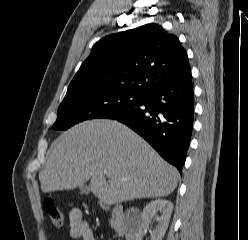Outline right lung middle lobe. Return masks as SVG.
<instances>
[{
	"label": "right lung middle lobe",
	"instance_id": "right-lung-middle-lobe-1",
	"mask_svg": "<svg viewBox=\"0 0 248 240\" xmlns=\"http://www.w3.org/2000/svg\"><path fill=\"white\" fill-rule=\"evenodd\" d=\"M144 94L120 89L83 88L67 90L58 108L55 130H67L84 120L107 118L136 105Z\"/></svg>",
	"mask_w": 248,
	"mask_h": 240
}]
</instances>
